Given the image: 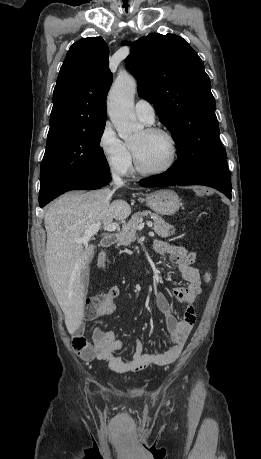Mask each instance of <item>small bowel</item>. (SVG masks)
Masks as SVG:
<instances>
[{"instance_id":"obj_1","label":"small bowel","mask_w":261,"mask_h":459,"mask_svg":"<svg viewBox=\"0 0 261 459\" xmlns=\"http://www.w3.org/2000/svg\"><path fill=\"white\" fill-rule=\"evenodd\" d=\"M153 249L157 254L167 257L177 267L185 281V286L176 287L170 291L171 295L185 307L180 318L173 314L171 304L163 293H158L155 299L158 309L165 318L170 346L160 352H145L142 342L135 339V348L131 358L123 359L116 355V352L125 343L117 338L114 331H104L97 327L89 340L85 335L84 324L77 323L69 331L72 335L73 349L84 361H104L108 364V371L122 374L136 372L150 365H168L180 357L196 322L194 302L201 293L200 274L194 266L196 253L183 246L170 245L160 240L153 242ZM107 292L111 297L108 304L100 311L99 316H107L114 311L113 301L119 295L120 288L113 286Z\"/></svg>"}]
</instances>
